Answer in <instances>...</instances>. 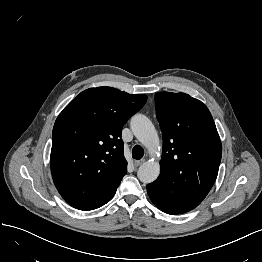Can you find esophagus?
<instances>
[{
    "mask_svg": "<svg viewBox=\"0 0 262 262\" xmlns=\"http://www.w3.org/2000/svg\"><path fill=\"white\" fill-rule=\"evenodd\" d=\"M144 159H141V160H134V165L137 167V166H140L141 164L144 163Z\"/></svg>",
    "mask_w": 262,
    "mask_h": 262,
    "instance_id": "34e87169",
    "label": "esophagus"
}]
</instances>
